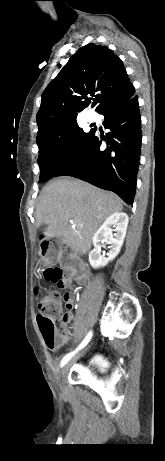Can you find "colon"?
Listing matches in <instances>:
<instances>
[{
    "label": "colon",
    "mask_w": 165,
    "mask_h": 461,
    "mask_svg": "<svg viewBox=\"0 0 165 461\" xmlns=\"http://www.w3.org/2000/svg\"><path fill=\"white\" fill-rule=\"evenodd\" d=\"M55 241L44 240L41 244L42 256L48 260L55 257ZM45 280L54 283L58 288H65L66 282L62 279L61 268L48 266L43 271ZM64 313L61 294L51 292L42 297L38 303L37 322L42 333L44 342L48 348L53 349L58 341L59 335L56 331L55 321Z\"/></svg>",
    "instance_id": "5ec220e1"
}]
</instances>
